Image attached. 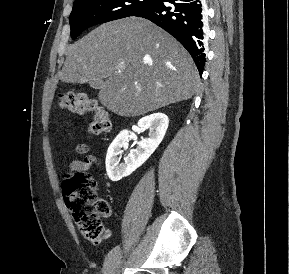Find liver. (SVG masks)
Returning a JSON list of instances; mask_svg holds the SVG:
<instances>
[{
  "mask_svg": "<svg viewBox=\"0 0 289 274\" xmlns=\"http://www.w3.org/2000/svg\"><path fill=\"white\" fill-rule=\"evenodd\" d=\"M59 79L97 84L100 103L123 117L188 100L199 85L184 47L138 17L104 23L70 45Z\"/></svg>",
  "mask_w": 289,
  "mask_h": 274,
  "instance_id": "liver-1",
  "label": "liver"
}]
</instances>
